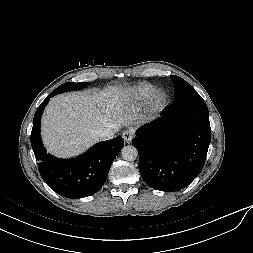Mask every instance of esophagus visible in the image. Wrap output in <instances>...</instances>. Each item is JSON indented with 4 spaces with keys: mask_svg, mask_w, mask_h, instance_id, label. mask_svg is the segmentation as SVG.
I'll use <instances>...</instances> for the list:
<instances>
[{
    "mask_svg": "<svg viewBox=\"0 0 253 253\" xmlns=\"http://www.w3.org/2000/svg\"><path fill=\"white\" fill-rule=\"evenodd\" d=\"M122 137L125 143L129 144L134 138V133L132 130H126L122 133Z\"/></svg>",
    "mask_w": 253,
    "mask_h": 253,
    "instance_id": "obj_1",
    "label": "esophagus"
}]
</instances>
